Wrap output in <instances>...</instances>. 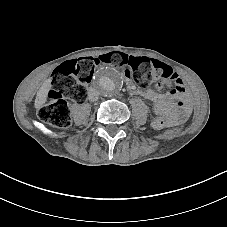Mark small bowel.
Wrapping results in <instances>:
<instances>
[{
    "instance_id": "c3829d8e",
    "label": "small bowel",
    "mask_w": 227,
    "mask_h": 227,
    "mask_svg": "<svg viewBox=\"0 0 227 227\" xmlns=\"http://www.w3.org/2000/svg\"><path fill=\"white\" fill-rule=\"evenodd\" d=\"M185 91V89H184ZM184 91L182 93H184ZM141 95L154 104L153 112L157 115H166L173 117L176 121H183L189 114V106L182 98L176 106L172 105L166 97L152 89H142Z\"/></svg>"
}]
</instances>
